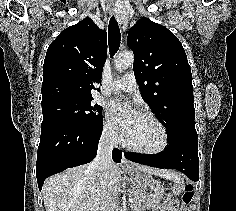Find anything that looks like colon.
Masks as SVG:
<instances>
[{
	"label": "colon",
	"mask_w": 236,
	"mask_h": 211,
	"mask_svg": "<svg viewBox=\"0 0 236 211\" xmlns=\"http://www.w3.org/2000/svg\"><path fill=\"white\" fill-rule=\"evenodd\" d=\"M171 191L181 195V201L184 205H189L193 199V186L190 184H173Z\"/></svg>",
	"instance_id": "colon-1"
}]
</instances>
